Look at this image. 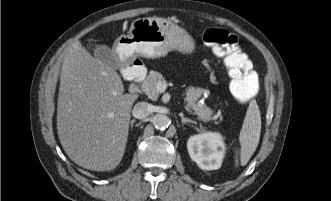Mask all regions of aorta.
<instances>
[{"instance_id": "762f6f07", "label": "aorta", "mask_w": 331, "mask_h": 201, "mask_svg": "<svg viewBox=\"0 0 331 201\" xmlns=\"http://www.w3.org/2000/svg\"><path fill=\"white\" fill-rule=\"evenodd\" d=\"M152 123L156 129L164 130L169 126L170 120L164 114H157L152 118Z\"/></svg>"}]
</instances>
